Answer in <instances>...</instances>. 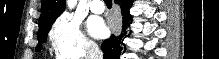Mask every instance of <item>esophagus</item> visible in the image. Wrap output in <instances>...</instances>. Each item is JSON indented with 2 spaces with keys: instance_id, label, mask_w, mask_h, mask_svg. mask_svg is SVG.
Masks as SVG:
<instances>
[{
  "instance_id": "obj_1",
  "label": "esophagus",
  "mask_w": 219,
  "mask_h": 59,
  "mask_svg": "<svg viewBox=\"0 0 219 59\" xmlns=\"http://www.w3.org/2000/svg\"><path fill=\"white\" fill-rule=\"evenodd\" d=\"M115 32H116V33H118V32H119V30H115Z\"/></svg>"
}]
</instances>
